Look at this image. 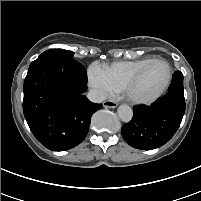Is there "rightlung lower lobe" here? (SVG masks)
Returning <instances> with one entry per match:
<instances>
[{
	"label": "right lung lower lobe",
	"mask_w": 201,
	"mask_h": 201,
	"mask_svg": "<svg viewBox=\"0 0 201 201\" xmlns=\"http://www.w3.org/2000/svg\"><path fill=\"white\" fill-rule=\"evenodd\" d=\"M86 88V70L75 60L46 56L30 64L23 87V112L43 146L65 151L86 137L92 114L102 108L83 95Z\"/></svg>",
	"instance_id": "98d812e1"
}]
</instances>
